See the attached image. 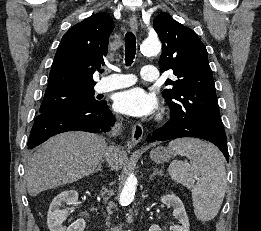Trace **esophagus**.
I'll use <instances>...</instances> for the list:
<instances>
[{
  "label": "esophagus",
  "instance_id": "obj_1",
  "mask_svg": "<svg viewBox=\"0 0 261 231\" xmlns=\"http://www.w3.org/2000/svg\"><path fill=\"white\" fill-rule=\"evenodd\" d=\"M129 23H130V26L133 31L138 30V20H137V17L135 14H132L130 16ZM143 133H144V130L140 123H136L133 125L132 131H131V142L133 145H136L141 141V139L143 137Z\"/></svg>",
  "mask_w": 261,
  "mask_h": 231
}]
</instances>
